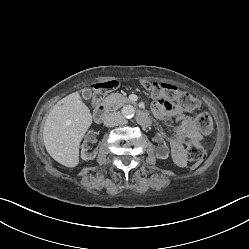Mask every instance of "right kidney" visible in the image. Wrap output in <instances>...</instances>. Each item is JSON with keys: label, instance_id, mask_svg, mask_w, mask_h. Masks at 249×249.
<instances>
[{"label": "right kidney", "instance_id": "right-kidney-1", "mask_svg": "<svg viewBox=\"0 0 249 249\" xmlns=\"http://www.w3.org/2000/svg\"><path fill=\"white\" fill-rule=\"evenodd\" d=\"M98 132L96 130H91L84 142L82 143V151L81 156L83 160H92L95 158L96 155H89L87 151L91 149L94 145V142L97 140Z\"/></svg>", "mask_w": 249, "mask_h": 249}]
</instances>
